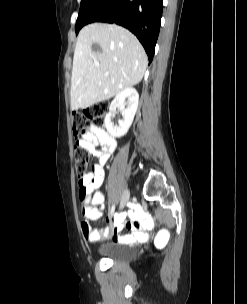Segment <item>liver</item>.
Listing matches in <instances>:
<instances>
[{"mask_svg":"<svg viewBox=\"0 0 247 304\" xmlns=\"http://www.w3.org/2000/svg\"><path fill=\"white\" fill-rule=\"evenodd\" d=\"M98 44L101 52L92 49ZM148 65L138 39L115 24L92 23L78 34L71 77V109L108 100L138 84Z\"/></svg>","mask_w":247,"mask_h":304,"instance_id":"6515ba94","label":"liver"}]
</instances>
